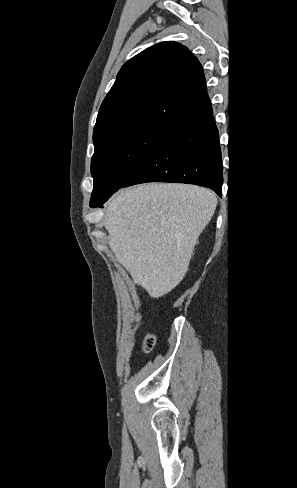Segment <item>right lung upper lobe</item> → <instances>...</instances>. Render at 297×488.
<instances>
[{
	"label": "right lung upper lobe",
	"mask_w": 297,
	"mask_h": 488,
	"mask_svg": "<svg viewBox=\"0 0 297 488\" xmlns=\"http://www.w3.org/2000/svg\"><path fill=\"white\" fill-rule=\"evenodd\" d=\"M210 107L198 59L180 43L162 42L122 66L100 107L93 142L137 126L171 129Z\"/></svg>",
	"instance_id": "right-lung-upper-lobe-1"
}]
</instances>
